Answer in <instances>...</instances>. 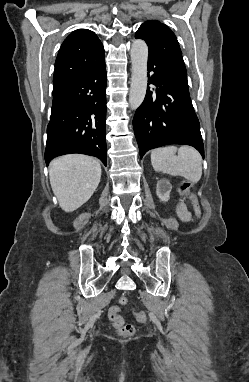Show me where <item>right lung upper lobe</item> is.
Wrapping results in <instances>:
<instances>
[{
    "mask_svg": "<svg viewBox=\"0 0 249 382\" xmlns=\"http://www.w3.org/2000/svg\"><path fill=\"white\" fill-rule=\"evenodd\" d=\"M103 55V45L95 33L87 29L72 32L62 43L56 58L53 95L86 73Z\"/></svg>",
    "mask_w": 249,
    "mask_h": 382,
    "instance_id": "obj_1",
    "label": "right lung upper lobe"
}]
</instances>
